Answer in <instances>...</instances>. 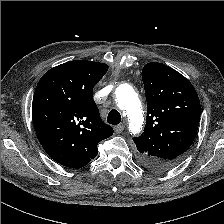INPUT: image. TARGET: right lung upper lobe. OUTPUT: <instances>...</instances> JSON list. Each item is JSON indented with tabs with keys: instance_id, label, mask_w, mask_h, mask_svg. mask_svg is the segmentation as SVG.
Masks as SVG:
<instances>
[{
	"instance_id": "obj_1",
	"label": "right lung upper lobe",
	"mask_w": 224,
	"mask_h": 224,
	"mask_svg": "<svg viewBox=\"0 0 224 224\" xmlns=\"http://www.w3.org/2000/svg\"><path fill=\"white\" fill-rule=\"evenodd\" d=\"M107 70L104 63L74 60L50 69L39 80L33 123L42 147L57 163L84 167L97 156L98 143L113 134L92 95Z\"/></svg>"
}]
</instances>
